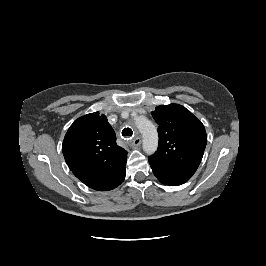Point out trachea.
Returning a JSON list of instances; mask_svg holds the SVG:
<instances>
[{
	"label": "trachea",
	"instance_id": "1",
	"mask_svg": "<svg viewBox=\"0 0 266 266\" xmlns=\"http://www.w3.org/2000/svg\"><path fill=\"white\" fill-rule=\"evenodd\" d=\"M133 135V131L130 129V128H124L122 130V136L126 137V138H129Z\"/></svg>",
	"mask_w": 266,
	"mask_h": 266
}]
</instances>
